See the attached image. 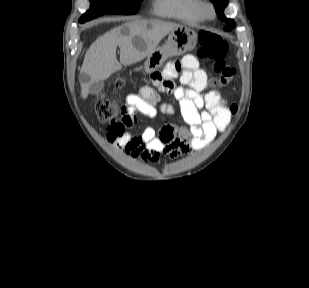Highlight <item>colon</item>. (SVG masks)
<instances>
[{"label": "colon", "mask_w": 309, "mask_h": 288, "mask_svg": "<svg viewBox=\"0 0 309 288\" xmlns=\"http://www.w3.org/2000/svg\"><path fill=\"white\" fill-rule=\"evenodd\" d=\"M198 43V57L213 62L215 77L212 85L215 88L228 86L234 77L235 69L226 61L228 47L225 40L216 33L201 30L198 33ZM114 84L117 89H120L125 85V80L119 77ZM158 88L166 92L164 86ZM94 108L97 118L103 122H117L124 126H132L136 121L135 116L125 105H118L106 98H100ZM232 112L236 113L237 108H232Z\"/></svg>", "instance_id": "5ec220e1"}]
</instances>
